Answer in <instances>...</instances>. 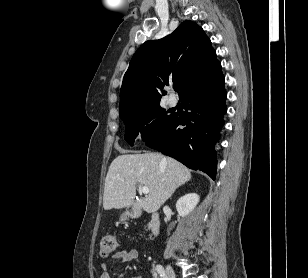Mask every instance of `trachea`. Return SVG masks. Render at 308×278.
I'll return each instance as SVG.
<instances>
[{
	"label": "trachea",
	"mask_w": 308,
	"mask_h": 278,
	"mask_svg": "<svg viewBox=\"0 0 308 278\" xmlns=\"http://www.w3.org/2000/svg\"><path fill=\"white\" fill-rule=\"evenodd\" d=\"M173 88H174V90L176 92H179V90H180V86L179 85H174Z\"/></svg>",
	"instance_id": "1"
}]
</instances>
